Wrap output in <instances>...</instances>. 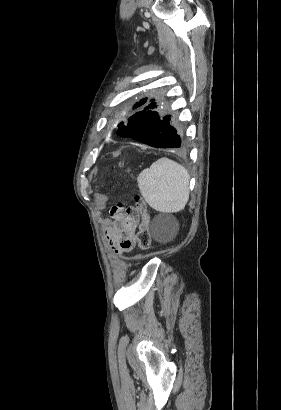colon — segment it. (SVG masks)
<instances>
[{
    "label": "colon",
    "mask_w": 281,
    "mask_h": 410,
    "mask_svg": "<svg viewBox=\"0 0 281 410\" xmlns=\"http://www.w3.org/2000/svg\"><path fill=\"white\" fill-rule=\"evenodd\" d=\"M135 210L140 214L142 222L138 232V246L141 250L147 251L151 247V234L149 230V214L147 204L143 197H135ZM112 216H130L132 209L125 207L123 204H118L111 209Z\"/></svg>",
    "instance_id": "colon-1"
}]
</instances>
